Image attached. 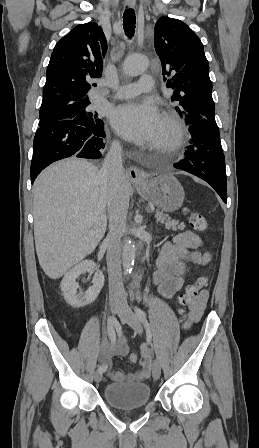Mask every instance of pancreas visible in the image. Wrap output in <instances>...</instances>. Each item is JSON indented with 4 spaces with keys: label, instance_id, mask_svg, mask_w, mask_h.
Returning a JSON list of instances; mask_svg holds the SVG:
<instances>
[{
    "label": "pancreas",
    "instance_id": "cf45deb5",
    "mask_svg": "<svg viewBox=\"0 0 259 448\" xmlns=\"http://www.w3.org/2000/svg\"><path fill=\"white\" fill-rule=\"evenodd\" d=\"M155 217H159L163 222L161 224H165L166 230H174V232H177V230H184V222H181L179 224V220H172V218H169L168 214H163V212H158Z\"/></svg>",
    "mask_w": 259,
    "mask_h": 448
}]
</instances>
